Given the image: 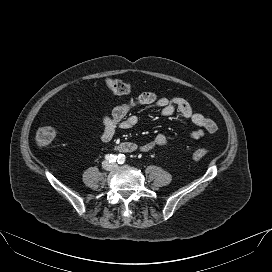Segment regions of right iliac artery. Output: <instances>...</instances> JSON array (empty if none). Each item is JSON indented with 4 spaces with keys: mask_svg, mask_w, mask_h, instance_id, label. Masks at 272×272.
<instances>
[{
    "mask_svg": "<svg viewBox=\"0 0 272 272\" xmlns=\"http://www.w3.org/2000/svg\"><path fill=\"white\" fill-rule=\"evenodd\" d=\"M105 159L107 160V161H109L110 163L112 162H115L116 161V159H117V156L116 155H113V154H107L106 156H105Z\"/></svg>",
    "mask_w": 272,
    "mask_h": 272,
    "instance_id": "82829eb1",
    "label": "right iliac artery"
}]
</instances>
